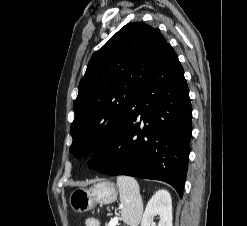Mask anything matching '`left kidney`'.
<instances>
[{
    "mask_svg": "<svg viewBox=\"0 0 247 226\" xmlns=\"http://www.w3.org/2000/svg\"><path fill=\"white\" fill-rule=\"evenodd\" d=\"M158 215V226H172V199L166 190L157 191L148 201L141 226H156L153 219Z\"/></svg>",
    "mask_w": 247,
    "mask_h": 226,
    "instance_id": "obj_1",
    "label": "left kidney"
}]
</instances>
